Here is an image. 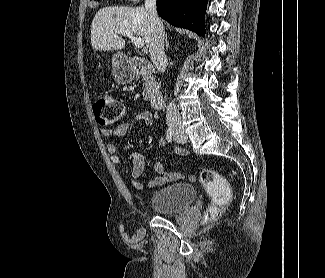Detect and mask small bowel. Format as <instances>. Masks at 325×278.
I'll use <instances>...</instances> for the list:
<instances>
[{
	"instance_id": "small-bowel-1",
	"label": "small bowel",
	"mask_w": 325,
	"mask_h": 278,
	"mask_svg": "<svg viewBox=\"0 0 325 278\" xmlns=\"http://www.w3.org/2000/svg\"><path fill=\"white\" fill-rule=\"evenodd\" d=\"M135 121L144 123L146 126L150 127L153 124V116L149 111H141L135 115ZM130 129L129 122H123L119 124L117 127L113 129L103 128L101 130V134L105 137L111 136H123L125 135ZM159 146L166 147L167 141L164 138H161L158 141ZM107 152L111 156V160L114 164L118 165L121 163V157L118 154V146L115 143H108ZM173 152L187 156L188 151L183 148H174ZM144 170V159L143 156L138 152L132 153V170H131V184L132 186L139 191L144 190V185L142 182L138 180ZM155 172L156 176L148 182L149 188H155L158 186H162L166 183L177 181L183 178L182 174L180 173H166L164 171V166L161 162L155 164ZM192 178V177H191Z\"/></svg>"
}]
</instances>
